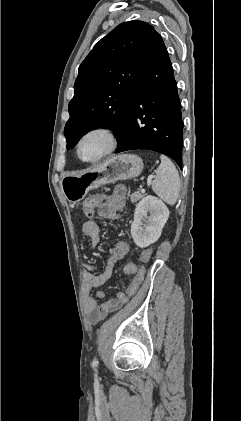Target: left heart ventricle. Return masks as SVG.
I'll return each mask as SVG.
<instances>
[{
	"mask_svg": "<svg viewBox=\"0 0 241 421\" xmlns=\"http://www.w3.org/2000/svg\"><path fill=\"white\" fill-rule=\"evenodd\" d=\"M106 140L101 135H91L81 144L80 152L84 158H94L105 148Z\"/></svg>",
	"mask_w": 241,
	"mask_h": 421,
	"instance_id": "obj_1",
	"label": "left heart ventricle"
}]
</instances>
